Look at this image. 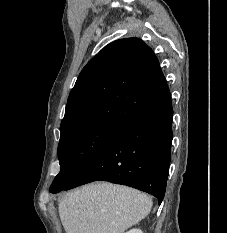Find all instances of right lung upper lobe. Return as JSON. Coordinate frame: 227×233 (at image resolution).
Masks as SVG:
<instances>
[{"mask_svg":"<svg viewBox=\"0 0 227 233\" xmlns=\"http://www.w3.org/2000/svg\"><path fill=\"white\" fill-rule=\"evenodd\" d=\"M170 98L150 47L138 38L117 40L82 69L69 94L60 132L82 128L119 131Z\"/></svg>","mask_w":227,"mask_h":233,"instance_id":"cb5924a9","label":"right lung upper lobe"}]
</instances>
